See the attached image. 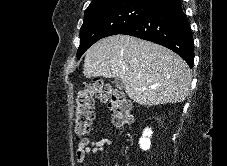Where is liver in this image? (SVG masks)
I'll list each match as a JSON object with an SVG mask.
<instances>
[{
	"mask_svg": "<svg viewBox=\"0 0 227 166\" xmlns=\"http://www.w3.org/2000/svg\"><path fill=\"white\" fill-rule=\"evenodd\" d=\"M83 74L121 79L128 97L145 106L183 102L192 80L179 55L128 35L106 37L92 45L85 53Z\"/></svg>",
	"mask_w": 227,
	"mask_h": 166,
	"instance_id": "1",
	"label": "liver"
}]
</instances>
